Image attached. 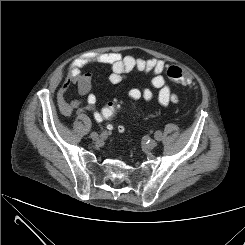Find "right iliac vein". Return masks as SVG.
<instances>
[{
  "mask_svg": "<svg viewBox=\"0 0 245 245\" xmlns=\"http://www.w3.org/2000/svg\"><path fill=\"white\" fill-rule=\"evenodd\" d=\"M90 137H91V139L92 140H98V134L96 133V132H92L91 134H90Z\"/></svg>",
  "mask_w": 245,
  "mask_h": 245,
  "instance_id": "right-iliac-vein-1",
  "label": "right iliac vein"
}]
</instances>
